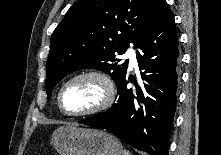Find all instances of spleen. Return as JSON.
Instances as JSON below:
<instances>
[{"label": "spleen", "instance_id": "obj_1", "mask_svg": "<svg viewBox=\"0 0 221 155\" xmlns=\"http://www.w3.org/2000/svg\"><path fill=\"white\" fill-rule=\"evenodd\" d=\"M124 155H131V153L129 152V151H124V153H123Z\"/></svg>", "mask_w": 221, "mask_h": 155}]
</instances>
